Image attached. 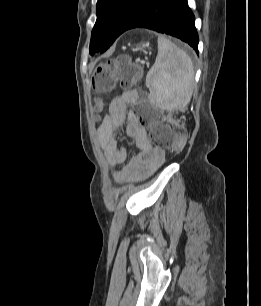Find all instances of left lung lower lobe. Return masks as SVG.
<instances>
[{"label": "left lung lower lobe", "instance_id": "obj_1", "mask_svg": "<svg viewBox=\"0 0 261 306\" xmlns=\"http://www.w3.org/2000/svg\"><path fill=\"white\" fill-rule=\"evenodd\" d=\"M187 0H145L125 31L147 28L188 43L198 53V34Z\"/></svg>", "mask_w": 261, "mask_h": 306}]
</instances>
